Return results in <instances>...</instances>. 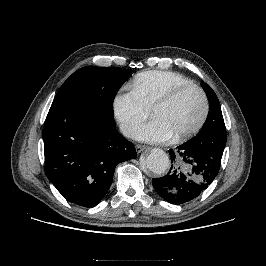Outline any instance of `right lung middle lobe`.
I'll use <instances>...</instances> for the list:
<instances>
[{"instance_id":"1","label":"right lung middle lobe","mask_w":266,"mask_h":266,"mask_svg":"<svg viewBox=\"0 0 266 266\" xmlns=\"http://www.w3.org/2000/svg\"><path fill=\"white\" fill-rule=\"evenodd\" d=\"M131 75V72L120 68H80L60 87L51 107L89 110L113 119L115 95Z\"/></svg>"}]
</instances>
